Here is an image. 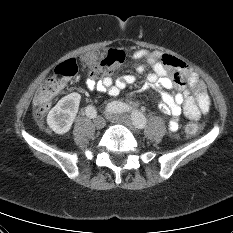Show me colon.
Returning <instances> with one entry per match:
<instances>
[{"label":"colon","instance_id":"colon-1","mask_svg":"<svg viewBox=\"0 0 233 233\" xmlns=\"http://www.w3.org/2000/svg\"><path fill=\"white\" fill-rule=\"evenodd\" d=\"M126 59V54L121 50H110L107 56L90 69L92 78H100L113 71L115 67L122 64ZM77 72L75 60L70 59L59 64L54 74L45 80L34 96L35 114L38 118L44 117L50 109L55 96L64 86L65 82ZM201 130V125L195 121L189 122L185 127L188 135H195Z\"/></svg>","mask_w":233,"mask_h":233}]
</instances>
